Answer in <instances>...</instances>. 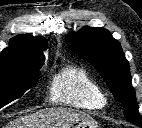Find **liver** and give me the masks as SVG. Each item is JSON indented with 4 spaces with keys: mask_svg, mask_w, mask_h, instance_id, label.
Returning a JSON list of instances; mask_svg holds the SVG:
<instances>
[{
    "mask_svg": "<svg viewBox=\"0 0 142 128\" xmlns=\"http://www.w3.org/2000/svg\"><path fill=\"white\" fill-rule=\"evenodd\" d=\"M86 119L91 117L81 111L50 108L10 121L4 128H71L73 124Z\"/></svg>",
    "mask_w": 142,
    "mask_h": 128,
    "instance_id": "1",
    "label": "liver"
}]
</instances>
